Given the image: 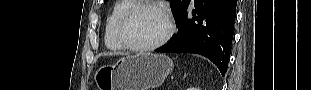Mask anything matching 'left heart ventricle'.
<instances>
[{"label": "left heart ventricle", "instance_id": "1", "mask_svg": "<svg viewBox=\"0 0 311 90\" xmlns=\"http://www.w3.org/2000/svg\"><path fill=\"white\" fill-rule=\"evenodd\" d=\"M166 21L162 14L152 8L138 10L124 28L126 39L136 46L158 41L166 32Z\"/></svg>", "mask_w": 311, "mask_h": 90}]
</instances>
